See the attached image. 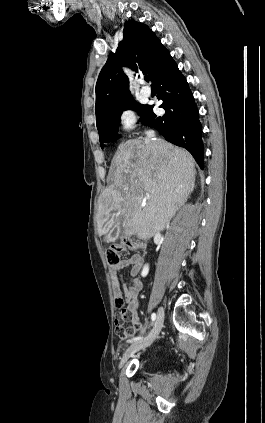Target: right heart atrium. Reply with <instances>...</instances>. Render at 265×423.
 <instances>
[{"label": "right heart atrium", "mask_w": 265, "mask_h": 423, "mask_svg": "<svg viewBox=\"0 0 265 423\" xmlns=\"http://www.w3.org/2000/svg\"><path fill=\"white\" fill-rule=\"evenodd\" d=\"M117 123L119 129L123 131H130L134 129L137 123V115L134 108L131 106L123 107L118 113Z\"/></svg>", "instance_id": "right-heart-atrium-1"}]
</instances>
